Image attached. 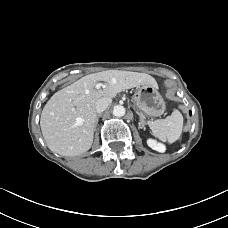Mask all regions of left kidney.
<instances>
[{
  "label": "left kidney",
  "instance_id": "left-kidney-1",
  "mask_svg": "<svg viewBox=\"0 0 228 228\" xmlns=\"http://www.w3.org/2000/svg\"><path fill=\"white\" fill-rule=\"evenodd\" d=\"M147 144L149 147H151L153 150H156L158 152H164L165 151V146L161 143H158L157 141L153 139H148Z\"/></svg>",
  "mask_w": 228,
  "mask_h": 228
}]
</instances>
